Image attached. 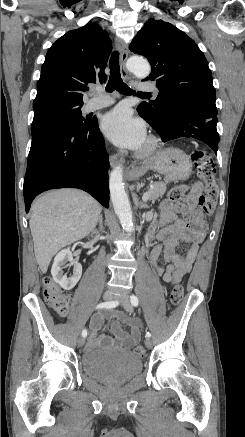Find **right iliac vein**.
Wrapping results in <instances>:
<instances>
[{
  "instance_id": "obj_1",
  "label": "right iliac vein",
  "mask_w": 245,
  "mask_h": 437,
  "mask_svg": "<svg viewBox=\"0 0 245 437\" xmlns=\"http://www.w3.org/2000/svg\"><path fill=\"white\" fill-rule=\"evenodd\" d=\"M113 298V293L111 291H106L103 295L105 301H110ZM85 343V338L82 336L78 339V346L82 347Z\"/></svg>"
}]
</instances>
